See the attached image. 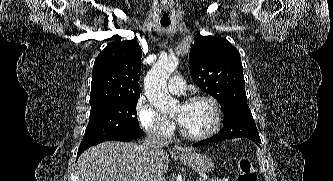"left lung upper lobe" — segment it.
Masks as SVG:
<instances>
[{
  "label": "left lung upper lobe",
  "mask_w": 333,
  "mask_h": 181,
  "mask_svg": "<svg viewBox=\"0 0 333 181\" xmlns=\"http://www.w3.org/2000/svg\"><path fill=\"white\" fill-rule=\"evenodd\" d=\"M190 75L194 83L221 105L227 133L259 141V133L248 107L239 51L226 39L198 35L191 47Z\"/></svg>",
  "instance_id": "5c2ea615"
}]
</instances>
